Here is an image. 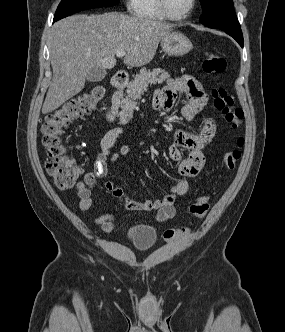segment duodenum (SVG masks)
I'll list each match as a JSON object with an SVG mask.
<instances>
[{
	"mask_svg": "<svg viewBox=\"0 0 285 332\" xmlns=\"http://www.w3.org/2000/svg\"><path fill=\"white\" fill-rule=\"evenodd\" d=\"M127 82H128V77L126 73L118 72L114 75L112 84L115 89V92L111 96L112 99L117 95V93L120 90L125 88ZM105 118L108 121H113L115 119V115L111 104H108L107 107L105 108Z\"/></svg>",
	"mask_w": 285,
	"mask_h": 332,
	"instance_id": "410a0bca",
	"label": "duodenum"
}]
</instances>
